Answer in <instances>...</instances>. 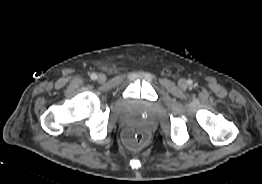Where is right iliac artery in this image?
<instances>
[{"label": "right iliac artery", "instance_id": "82829eb1", "mask_svg": "<svg viewBox=\"0 0 262 184\" xmlns=\"http://www.w3.org/2000/svg\"><path fill=\"white\" fill-rule=\"evenodd\" d=\"M90 78H91L92 80H96V79H97V75H96L95 73H92V74L90 75Z\"/></svg>", "mask_w": 262, "mask_h": 184}]
</instances>
